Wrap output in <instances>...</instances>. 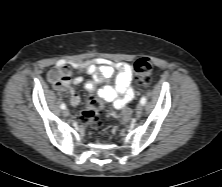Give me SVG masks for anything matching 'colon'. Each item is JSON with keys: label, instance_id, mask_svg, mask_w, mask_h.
Instances as JSON below:
<instances>
[{"label": "colon", "instance_id": "colon-1", "mask_svg": "<svg viewBox=\"0 0 222 187\" xmlns=\"http://www.w3.org/2000/svg\"><path fill=\"white\" fill-rule=\"evenodd\" d=\"M134 72L138 85H149L152 75V64L147 58H140L134 63ZM102 114L103 104L101 99L92 96L80 113L79 119L84 124L97 123Z\"/></svg>", "mask_w": 222, "mask_h": 187}]
</instances>
